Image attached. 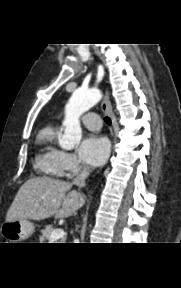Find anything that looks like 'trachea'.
Here are the masks:
<instances>
[{"instance_id": "obj_1", "label": "trachea", "mask_w": 181, "mask_h": 288, "mask_svg": "<svg viewBox=\"0 0 181 288\" xmlns=\"http://www.w3.org/2000/svg\"><path fill=\"white\" fill-rule=\"evenodd\" d=\"M104 121L106 122V124L111 125V119L109 117H105Z\"/></svg>"}]
</instances>
